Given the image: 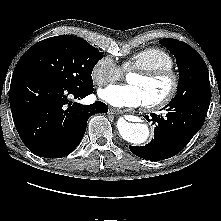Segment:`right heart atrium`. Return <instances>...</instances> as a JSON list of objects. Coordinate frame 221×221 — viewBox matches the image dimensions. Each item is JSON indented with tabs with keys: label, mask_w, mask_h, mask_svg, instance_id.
Listing matches in <instances>:
<instances>
[{
	"label": "right heart atrium",
	"mask_w": 221,
	"mask_h": 221,
	"mask_svg": "<svg viewBox=\"0 0 221 221\" xmlns=\"http://www.w3.org/2000/svg\"><path fill=\"white\" fill-rule=\"evenodd\" d=\"M90 75L93 83L100 87L120 79L122 70L111 57L103 56L95 62Z\"/></svg>",
	"instance_id": "d8ad5b80"
}]
</instances>
